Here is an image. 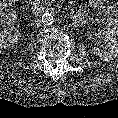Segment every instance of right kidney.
<instances>
[{
	"instance_id": "1",
	"label": "right kidney",
	"mask_w": 118,
	"mask_h": 118,
	"mask_svg": "<svg viewBox=\"0 0 118 118\" xmlns=\"http://www.w3.org/2000/svg\"><path fill=\"white\" fill-rule=\"evenodd\" d=\"M21 34L16 28L0 31V48H9L20 39Z\"/></svg>"
}]
</instances>
